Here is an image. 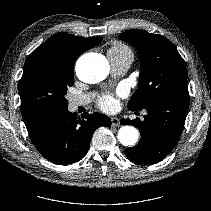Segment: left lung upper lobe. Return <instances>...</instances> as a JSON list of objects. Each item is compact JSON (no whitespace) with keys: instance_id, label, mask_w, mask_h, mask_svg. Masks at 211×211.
I'll return each instance as SVG.
<instances>
[{"instance_id":"obj_1","label":"left lung upper lobe","mask_w":211,"mask_h":211,"mask_svg":"<svg viewBox=\"0 0 211 211\" xmlns=\"http://www.w3.org/2000/svg\"><path fill=\"white\" fill-rule=\"evenodd\" d=\"M119 38L136 48L141 65L138 89L128 103L131 111L145 109L162 97L188 95L184 60L167 38L137 29Z\"/></svg>"}]
</instances>
